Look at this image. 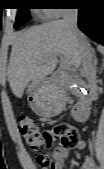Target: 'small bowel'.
<instances>
[{"label": "small bowel", "mask_w": 104, "mask_h": 169, "mask_svg": "<svg viewBox=\"0 0 104 169\" xmlns=\"http://www.w3.org/2000/svg\"><path fill=\"white\" fill-rule=\"evenodd\" d=\"M85 146V142L83 140L82 135L79 134V141L76 144V148L82 149ZM55 166L54 169H62L65 161L68 158L69 150L66 146L61 144L60 146L56 147L55 152ZM80 169H94L93 161L90 157H86L83 161Z\"/></svg>", "instance_id": "obj_1"}]
</instances>
